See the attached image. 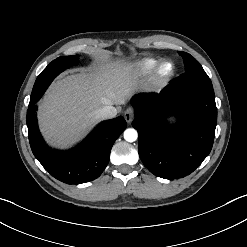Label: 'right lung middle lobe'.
<instances>
[{"label": "right lung middle lobe", "instance_id": "dd1d6c3e", "mask_svg": "<svg viewBox=\"0 0 247 247\" xmlns=\"http://www.w3.org/2000/svg\"><path fill=\"white\" fill-rule=\"evenodd\" d=\"M77 63L78 55H75L59 57L48 64V66L40 73L35 81L30 101H33L44 94L50 83L57 75Z\"/></svg>", "mask_w": 247, "mask_h": 247}]
</instances>
